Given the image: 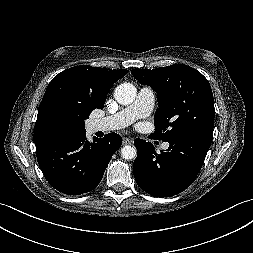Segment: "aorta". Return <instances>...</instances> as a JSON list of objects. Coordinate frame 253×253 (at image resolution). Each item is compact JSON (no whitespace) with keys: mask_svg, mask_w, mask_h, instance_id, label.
Listing matches in <instances>:
<instances>
[{"mask_svg":"<svg viewBox=\"0 0 253 253\" xmlns=\"http://www.w3.org/2000/svg\"><path fill=\"white\" fill-rule=\"evenodd\" d=\"M137 96V89L131 83H122L115 88L114 97L122 105L131 104ZM121 156L124 159L131 160L137 156V151L133 146H123Z\"/></svg>","mask_w":253,"mask_h":253,"instance_id":"1","label":"aorta"}]
</instances>
